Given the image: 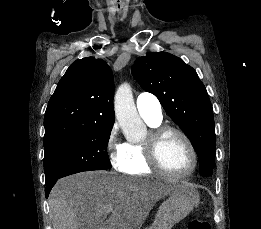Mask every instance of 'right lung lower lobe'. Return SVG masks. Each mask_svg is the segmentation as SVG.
<instances>
[{"label":"right lung lower lobe","mask_w":261,"mask_h":229,"mask_svg":"<svg viewBox=\"0 0 261 229\" xmlns=\"http://www.w3.org/2000/svg\"><path fill=\"white\" fill-rule=\"evenodd\" d=\"M56 181H57V180H55V181H53V182H51V183H49V184L46 185V188H45V196H46V198L48 197V195H49V193H50L52 187H53L54 184L56 183Z\"/></svg>","instance_id":"right-lung-lower-lobe-1"}]
</instances>
